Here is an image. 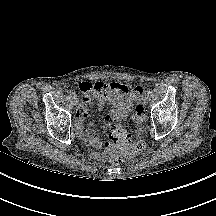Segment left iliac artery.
<instances>
[{
    "label": "left iliac artery",
    "instance_id": "1",
    "mask_svg": "<svg viewBox=\"0 0 216 216\" xmlns=\"http://www.w3.org/2000/svg\"><path fill=\"white\" fill-rule=\"evenodd\" d=\"M152 94V92L149 90V91H146V95L147 96H150Z\"/></svg>",
    "mask_w": 216,
    "mask_h": 216
}]
</instances>
